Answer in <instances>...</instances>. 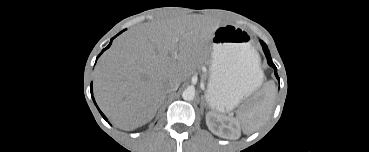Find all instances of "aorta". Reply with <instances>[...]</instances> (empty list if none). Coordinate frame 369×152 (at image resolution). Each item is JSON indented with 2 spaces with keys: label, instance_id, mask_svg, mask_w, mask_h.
I'll use <instances>...</instances> for the list:
<instances>
[{
  "label": "aorta",
  "instance_id": "762f6f07",
  "mask_svg": "<svg viewBox=\"0 0 369 152\" xmlns=\"http://www.w3.org/2000/svg\"><path fill=\"white\" fill-rule=\"evenodd\" d=\"M182 98L186 101H191L195 98V89L188 87L182 93Z\"/></svg>",
  "mask_w": 369,
  "mask_h": 152
}]
</instances>
